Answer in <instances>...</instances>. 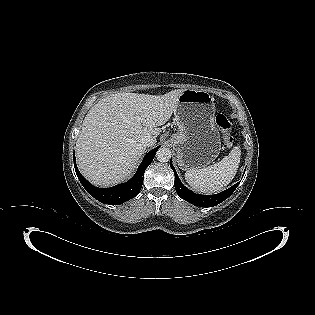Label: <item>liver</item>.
I'll return each mask as SVG.
<instances>
[{
	"label": "liver",
	"instance_id": "obj_1",
	"mask_svg": "<svg viewBox=\"0 0 315 315\" xmlns=\"http://www.w3.org/2000/svg\"><path fill=\"white\" fill-rule=\"evenodd\" d=\"M184 91L176 89L164 95L116 93L92 106L76 141L82 175L100 187L129 177L146 150L142 138L151 136L156 142L161 132L158 127L170 119Z\"/></svg>",
	"mask_w": 315,
	"mask_h": 315
}]
</instances>
